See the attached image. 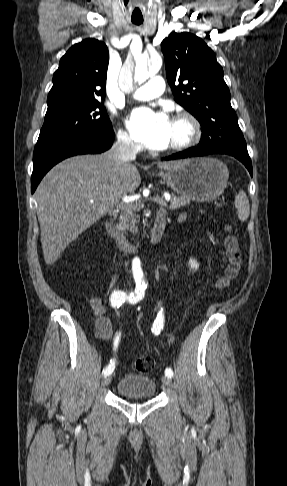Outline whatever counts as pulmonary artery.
Masks as SVG:
<instances>
[{"mask_svg":"<svg viewBox=\"0 0 287 486\" xmlns=\"http://www.w3.org/2000/svg\"><path fill=\"white\" fill-rule=\"evenodd\" d=\"M164 90V81L161 77L151 78L147 83L135 89L131 97L136 100L146 101L159 97Z\"/></svg>","mask_w":287,"mask_h":486,"instance_id":"obj_1","label":"pulmonary artery"}]
</instances>
